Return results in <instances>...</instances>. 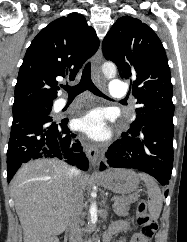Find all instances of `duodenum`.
<instances>
[{
  "label": "duodenum",
  "instance_id": "410a0bca",
  "mask_svg": "<svg viewBox=\"0 0 187 242\" xmlns=\"http://www.w3.org/2000/svg\"><path fill=\"white\" fill-rule=\"evenodd\" d=\"M109 241V236H106L105 237V242H108Z\"/></svg>",
  "mask_w": 187,
  "mask_h": 242
}]
</instances>
